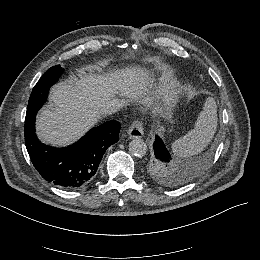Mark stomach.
I'll return each instance as SVG.
<instances>
[{
  "instance_id": "1",
  "label": "stomach",
  "mask_w": 260,
  "mask_h": 260,
  "mask_svg": "<svg viewBox=\"0 0 260 260\" xmlns=\"http://www.w3.org/2000/svg\"><path fill=\"white\" fill-rule=\"evenodd\" d=\"M169 115H170V117H169V118L171 119V118H172V116H171V114H169Z\"/></svg>"
}]
</instances>
